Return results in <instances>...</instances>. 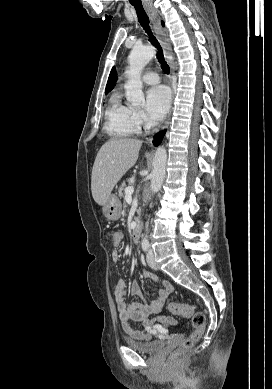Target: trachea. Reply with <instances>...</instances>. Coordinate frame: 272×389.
I'll list each match as a JSON object with an SVG mask.
<instances>
[{
    "label": "trachea",
    "mask_w": 272,
    "mask_h": 389,
    "mask_svg": "<svg viewBox=\"0 0 272 389\" xmlns=\"http://www.w3.org/2000/svg\"><path fill=\"white\" fill-rule=\"evenodd\" d=\"M132 5L134 6V8L136 10V13H137V16H138V21H139L140 25L143 27L145 32L148 34L150 42L158 50V52H157V59L161 63L162 70L164 71V73L169 74L170 68H169L167 62L164 59L163 50H162L160 44L158 43L157 39L155 38V36L153 35V33H152L151 29H150L149 18H148L147 14H146V12H145V10L143 8V5L142 4H132Z\"/></svg>",
    "instance_id": "trachea-1"
}]
</instances>
